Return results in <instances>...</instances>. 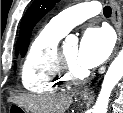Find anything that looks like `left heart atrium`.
Returning <instances> with one entry per match:
<instances>
[{
	"instance_id": "obj_1",
	"label": "left heart atrium",
	"mask_w": 123,
	"mask_h": 113,
	"mask_svg": "<svg viewBox=\"0 0 123 113\" xmlns=\"http://www.w3.org/2000/svg\"><path fill=\"white\" fill-rule=\"evenodd\" d=\"M113 48L110 32L104 28H89L81 39L77 51V63L85 69H92L103 63Z\"/></svg>"
}]
</instances>
